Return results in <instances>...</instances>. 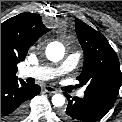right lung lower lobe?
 Instances as JSON below:
<instances>
[{"mask_svg": "<svg viewBox=\"0 0 122 122\" xmlns=\"http://www.w3.org/2000/svg\"><path fill=\"white\" fill-rule=\"evenodd\" d=\"M39 92V85L31 86L18 78H1V122H20L26 114L27 101Z\"/></svg>", "mask_w": 122, "mask_h": 122, "instance_id": "1", "label": "right lung lower lobe"}]
</instances>
